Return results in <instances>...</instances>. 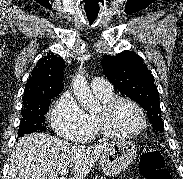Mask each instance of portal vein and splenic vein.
<instances>
[{"mask_svg":"<svg viewBox=\"0 0 183 179\" xmlns=\"http://www.w3.org/2000/svg\"><path fill=\"white\" fill-rule=\"evenodd\" d=\"M67 172H68V169L67 168H63V169H61L60 174L61 175H66Z\"/></svg>","mask_w":183,"mask_h":179,"instance_id":"obj_1","label":"portal vein and splenic vein"}]
</instances>
